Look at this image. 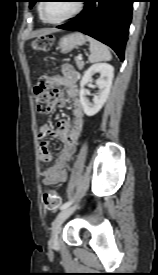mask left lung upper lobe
<instances>
[{
  "instance_id": "5c2ea615",
  "label": "left lung upper lobe",
  "mask_w": 158,
  "mask_h": 275,
  "mask_svg": "<svg viewBox=\"0 0 158 275\" xmlns=\"http://www.w3.org/2000/svg\"><path fill=\"white\" fill-rule=\"evenodd\" d=\"M37 2V0H29L30 8Z\"/></svg>"
}]
</instances>
